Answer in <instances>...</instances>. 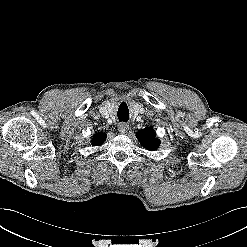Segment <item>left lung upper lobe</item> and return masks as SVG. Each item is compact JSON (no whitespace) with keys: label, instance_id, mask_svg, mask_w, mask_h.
<instances>
[{"label":"left lung upper lobe","instance_id":"5c2ea615","mask_svg":"<svg viewBox=\"0 0 247 247\" xmlns=\"http://www.w3.org/2000/svg\"><path fill=\"white\" fill-rule=\"evenodd\" d=\"M137 138L140 143L150 151L157 149L160 145V141L155 138V132L151 127L137 132Z\"/></svg>","mask_w":247,"mask_h":247}]
</instances>
